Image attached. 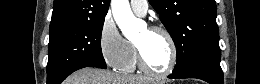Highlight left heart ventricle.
Segmentation results:
<instances>
[{"label": "left heart ventricle", "mask_w": 260, "mask_h": 84, "mask_svg": "<svg viewBox=\"0 0 260 84\" xmlns=\"http://www.w3.org/2000/svg\"><path fill=\"white\" fill-rule=\"evenodd\" d=\"M136 44L141 48L147 65L155 71H164L170 60V46L166 37L161 33H151L144 30Z\"/></svg>", "instance_id": "left-heart-ventricle-1"}]
</instances>
